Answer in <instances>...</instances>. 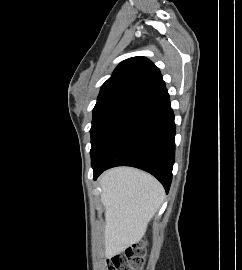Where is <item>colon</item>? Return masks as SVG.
<instances>
[{"instance_id": "1", "label": "colon", "mask_w": 242, "mask_h": 270, "mask_svg": "<svg viewBox=\"0 0 242 270\" xmlns=\"http://www.w3.org/2000/svg\"><path fill=\"white\" fill-rule=\"evenodd\" d=\"M145 258V244L137 243L124 254L112 258L108 270H142Z\"/></svg>"}]
</instances>
